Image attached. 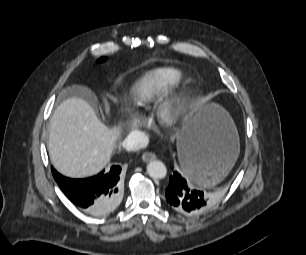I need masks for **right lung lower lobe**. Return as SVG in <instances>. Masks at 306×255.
<instances>
[{
	"mask_svg": "<svg viewBox=\"0 0 306 255\" xmlns=\"http://www.w3.org/2000/svg\"><path fill=\"white\" fill-rule=\"evenodd\" d=\"M54 179L67 198L84 212L93 216L110 213L121 197V167L113 165L97 176L70 179L52 168Z\"/></svg>",
	"mask_w": 306,
	"mask_h": 255,
	"instance_id": "right-lung-lower-lobe-1",
	"label": "right lung lower lobe"
}]
</instances>
